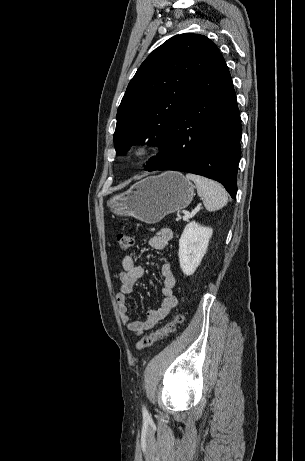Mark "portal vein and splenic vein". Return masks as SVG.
Returning <instances> with one entry per match:
<instances>
[{
	"label": "portal vein and splenic vein",
	"instance_id": "obj_1",
	"mask_svg": "<svg viewBox=\"0 0 305 461\" xmlns=\"http://www.w3.org/2000/svg\"><path fill=\"white\" fill-rule=\"evenodd\" d=\"M197 209H200V206H198V207L196 208V210H197ZM190 217H192V215H190V214L184 215V216H183V220H184V221H188Z\"/></svg>",
	"mask_w": 305,
	"mask_h": 461
}]
</instances>
